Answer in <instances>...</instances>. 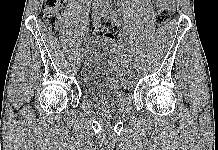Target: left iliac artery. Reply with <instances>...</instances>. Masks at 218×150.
Instances as JSON below:
<instances>
[{"label":"left iliac artery","mask_w":218,"mask_h":150,"mask_svg":"<svg viewBox=\"0 0 218 150\" xmlns=\"http://www.w3.org/2000/svg\"><path fill=\"white\" fill-rule=\"evenodd\" d=\"M114 18H115V20H114L115 24L118 25L119 27H122L123 23L120 20H117L119 17L116 15ZM127 65H128V67H127L128 70L132 71L133 70L132 69L133 68V64L131 62H129Z\"/></svg>","instance_id":"1"}]
</instances>
